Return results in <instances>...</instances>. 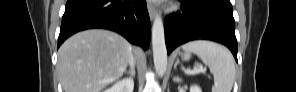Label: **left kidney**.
I'll return each instance as SVG.
<instances>
[{"mask_svg": "<svg viewBox=\"0 0 296 92\" xmlns=\"http://www.w3.org/2000/svg\"><path fill=\"white\" fill-rule=\"evenodd\" d=\"M175 82H181V79L179 77H174L173 79ZM190 92H202L201 88L197 85H192L190 87Z\"/></svg>", "mask_w": 296, "mask_h": 92, "instance_id": "5707ae66", "label": "left kidney"}]
</instances>
